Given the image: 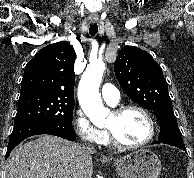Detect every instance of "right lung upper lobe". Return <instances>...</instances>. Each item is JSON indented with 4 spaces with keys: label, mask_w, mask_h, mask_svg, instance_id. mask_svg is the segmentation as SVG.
Instances as JSON below:
<instances>
[{
    "label": "right lung upper lobe",
    "mask_w": 194,
    "mask_h": 178,
    "mask_svg": "<svg viewBox=\"0 0 194 178\" xmlns=\"http://www.w3.org/2000/svg\"><path fill=\"white\" fill-rule=\"evenodd\" d=\"M75 58L67 41L40 49L25 66L19 100L48 96L74 99Z\"/></svg>",
    "instance_id": "obj_1"
}]
</instances>
